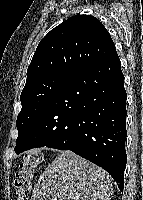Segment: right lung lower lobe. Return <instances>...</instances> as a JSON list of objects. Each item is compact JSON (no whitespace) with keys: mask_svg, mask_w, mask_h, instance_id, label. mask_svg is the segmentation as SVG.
Wrapping results in <instances>:
<instances>
[{"mask_svg":"<svg viewBox=\"0 0 143 200\" xmlns=\"http://www.w3.org/2000/svg\"><path fill=\"white\" fill-rule=\"evenodd\" d=\"M126 99L115 50L70 76L35 120L17 154L43 146L71 150L105 169L123 191Z\"/></svg>","mask_w":143,"mask_h":200,"instance_id":"obj_1","label":"right lung lower lobe"}]
</instances>
